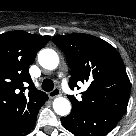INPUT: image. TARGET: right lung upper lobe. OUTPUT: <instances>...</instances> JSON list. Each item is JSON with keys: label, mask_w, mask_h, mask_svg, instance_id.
Listing matches in <instances>:
<instances>
[{"label": "right lung upper lobe", "mask_w": 136, "mask_h": 136, "mask_svg": "<svg viewBox=\"0 0 136 136\" xmlns=\"http://www.w3.org/2000/svg\"><path fill=\"white\" fill-rule=\"evenodd\" d=\"M49 40L25 31L0 35V136L22 133L48 99L35 88L29 66Z\"/></svg>", "instance_id": "obj_1"}]
</instances>
